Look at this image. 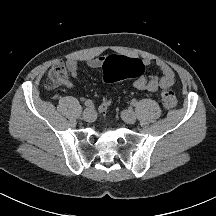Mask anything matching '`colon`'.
<instances>
[{
	"mask_svg": "<svg viewBox=\"0 0 216 216\" xmlns=\"http://www.w3.org/2000/svg\"><path fill=\"white\" fill-rule=\"evenodd\" d=\"M145 66L142 62L126 57L112 56L104 64V79L107 83H116L118 81L139 77L143 75ZM67 70L65 63L57 61L51 67L48 73L47 87L54 89L66 80ZM161 100L165 107L173 108L177 104V98L174 92L168 88L161 91ZM111 105V96L107 95L99 106V112L105 116Z\"/></svg>",
	"mask_w": 216,
	"mask_h": 216,
	"instance_id": "colon-1",
	"label": "colon"
}]
</instances>
